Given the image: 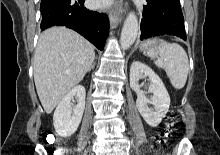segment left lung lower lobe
I'll return each mask as SVG.
<instances>
[{
	"instance_id": "0a47b994",
	"label": "left lung lower lobe",
	"mask_w": 220,
	"mask_h": 155,
	"mask_svg": "<svg viewBox=\"0 0 220 155\" xmlns=\"http://www.w3.org/2000/svg\"><path fill=\"white\" fill-rule=\"evenodd\" d=\"M141 20L140 39L174 35L186 40L184 18L179 0H146Z\"/></svg>"
}]
</instances>
